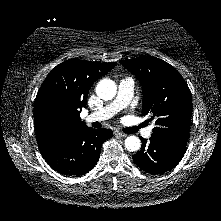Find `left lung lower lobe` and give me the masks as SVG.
<instances>
[{"label": "left lung lower lobe", "mask_w": 221, "mask_h": 221, "mask_svg": "<svg viewBox=\"0 0 221 221\" xmlns=\"http://www.w3.org/2000/svg\"><path fill=\"white\" fill-rule=\"evenodd\" d=\"M142 139L141 150L133 155L135 164L151 174H162L173 169L183 158L186 146L151 137Z\"/></svg>", "instance_id": "1"}]
</instances>
